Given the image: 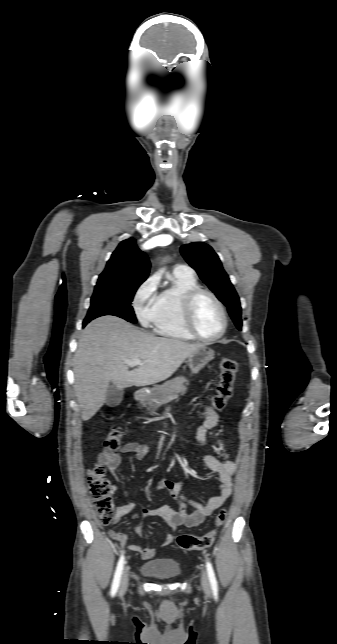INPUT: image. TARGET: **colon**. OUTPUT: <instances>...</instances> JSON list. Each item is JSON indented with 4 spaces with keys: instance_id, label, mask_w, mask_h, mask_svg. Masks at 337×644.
<instances>
[{
    "instance_id": "obj_1",
    "label": "colon",
    "mask_w": 337,
    "mask_h": 644,
    "mask_svg": "<svg viewBox=\"0 0 337 644\" xmlns=\"http://www.w3.org/2000/svg\"><path fill=\"white\" fill-rule=\"evenodd\" d=\"M237 364L230 358H222L219 362V381L215 394L211 397L209 409L222 410L232 396ZM206 416V412L202 413ZM121 431L113 428L106 436L105 448L116 450L121 444ZM89 491L94 501L95 511L103 524H108L114 517V502L109 481L105 478V467L101 463L95 464L88 476ZM227 517L225 510H221L215 518L216 527L224 524ZM216 537V531L211 530L204 535L196 536L183 534L177 538L176 547L183 551L202 550L210 547Z\"/></svg>"
}]
</instances>
